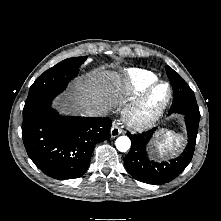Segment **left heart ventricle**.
I'll return each instance as SVG.
<instances>
[{
    "label": "left heart ventricle",
    "instance_id": "1",
    "mask_svg": "<svg viewBox=\"0 0 221 221\" xmlns=\"http://www.w3.org/2000/svg\"><path fill=\"white\" fill-rule=\"evenodd\" d=\"M166 91H167L166 86H160L156 91L157 99H161L165 95Z\"/></svg>",
    "mask_w": 221,
    "mask_h": 221
}]
</instances>
